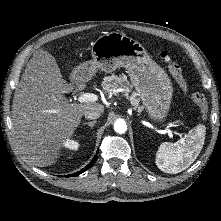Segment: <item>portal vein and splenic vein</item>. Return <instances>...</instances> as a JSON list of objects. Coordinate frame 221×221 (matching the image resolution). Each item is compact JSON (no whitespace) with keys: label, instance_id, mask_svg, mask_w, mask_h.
Segmentation results:
<instances>
[{"label":"portal vein and splenic vein","instance_id":"1","mask_svg":"<svg viewBox=\"0 0 221 221\" xmlns=\"http://www.w3.org/2000/svg\"><path fill=\"white\" fill-rule=\"evenodd\" d=\"M97 100H98V96L93 93H84L78 97V101L80 103L96 102ZM165 130L168 133V135L170 136V138H173V133H175V132L172 131L171 129H169L168 126L165 128Z\"/></svg>","mask_w":221,"mask_h":221}]
</instances>
